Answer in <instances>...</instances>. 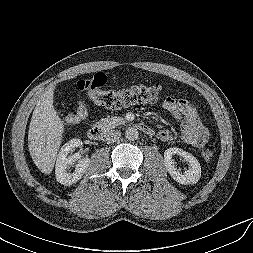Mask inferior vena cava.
<instances>
[{"instance_id":"inferior-vena-cava-1","label":"inferior vena cava","mask_w":253,"mask_h":253,"mask_svg":"<svg viewBox=\"0 0 253 253\" xmlns=\"http://www.w3.org/2000/svg\"><path fill=\"white\" fill-rule=\"evenodd\" d=\"M121 137V132L119 130H108L104 134V139L108 143L116 142Z\"/></svg>"}]
</instances>
